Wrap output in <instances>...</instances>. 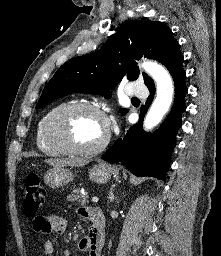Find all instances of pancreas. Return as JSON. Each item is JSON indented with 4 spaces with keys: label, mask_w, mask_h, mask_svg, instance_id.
Here are the masks:
<instances>
[{
    "label": "pancreas",
    "mask_w": 221,
    "mask_h": 256,
    "mask_svg": "<svg viewBox=\"0 0 221 256\" xmlns=\"http://www.w3.org/2000/svg\"><path fill=\"white\" fill-rule=\"evenodd\" d=\"M89 196L82 195L80 193V189H75L71 195L68 196V201L74 202L76 204H81V205H87L89 203L88 200Z\"/></svg>",
    "instance_id": "pancreas-1"
}]
</instances>
